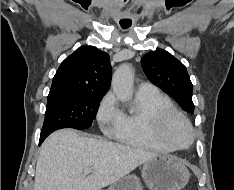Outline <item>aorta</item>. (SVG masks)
Wrapping results in <instances>:
<instances>
[{
  "label": "aorta",
  "instance_id": "obj_1",
  "mask_svg": "<svg viewBox=\"0 0 234 190\" xmlns=\"http://www.w3.org/2000/svg\"><path fill=\"white\" fill-rule=\"evenodd\" d=\"M112 88L121 101L129 100L133 93V71L129 64H123L113 74Z\"/></svg>",
  "mask_w": 234,
  "mask_h": 190
}]
</instances>
